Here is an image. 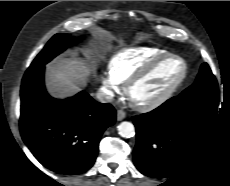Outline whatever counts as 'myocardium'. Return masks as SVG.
Here are the masks:
<instances>
[{"label": "myocardium", "instance_id": "1", "mask_svg": "<svg viewBox=\"0 0 230 186\" xmlns=\"http://www.w3.org/2000/svg\"><path fill=\"white\" fill-rule=\"evenodd\" d=\"M168 59H176L181 63L182 70L180 74L165 88L163 92H161L155 98L144 102L135 101L131 95L133 87L141 80L149 76L161 63H163ZM187 73H188V66L186 61L182 57L176 54L166 53L157 57L148 65H146L144 68H142L141 70H139L138 72L130 76L125 83L124 92L134 108L140 111H151L164 104L174 94V92L185 80Z\"/></svg>", "mask_w": 230, "mask_h": 186}]
</instances>
